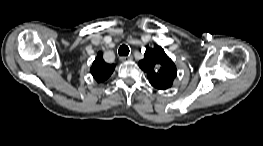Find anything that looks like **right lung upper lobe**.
<instances>
[{
  "instance_id": "cb5924a9",
  "label": "right lung upper lobe",
  "mask_w": 263,
  "mask_h": 146,
  "mask_svg": "<svg viewBox=\"0 0 263 146\" xmlns=\"http://www.w3.org/2000/svg\"><path fill=\"white\" fill-rule=\"evenodd\" d=\"M115 69V65L114 64H108L103 60V55L101 52H99L97 54V57L95 58L90 72L92 74V76L94 77V79L97 82H103L106 79H108V77L111 76V74L113 73Z\"/></svg>"
}]
</instances>
